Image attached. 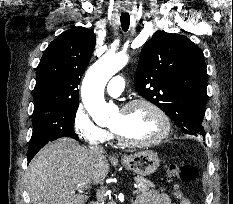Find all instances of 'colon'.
<instances>
[{
	"label": "colon",
	"mask_w": 233,
	"mask_h": 204,
	"mask_svg": "<svg viewBox=\"0 0 233 204\" xmlns=\"http://www.w3.org/2000/svg\"><path fill=\"white\" fill-rule=\"evenodd\" d=\"M197 168L191 164H171L167 167L168 180L176 185L188 184L197 177Z\"/></svg>",
	"instance_id": "colon-1"
}]
</instances>
